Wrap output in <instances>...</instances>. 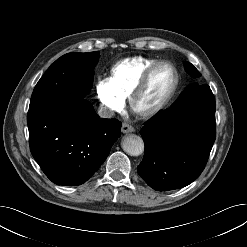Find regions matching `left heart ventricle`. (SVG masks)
<instances>
[{
    "instance_id": "1",
    "label": "left heart ventricle",
    "mask_w": 247,
    "mask_h": 247,
    "mask_svg": "<svg viewBox=\"0 0 247 247\" xmlns=\"http://www.w3.org/2000/svg\"><path fill=\"white\" fill-rule=\"evenodd\" d=\"M174 82V72L168 65H162L151 75L147 86L135 103L137 112H145L158 103L167 95Z\"/></svg>"
}]
</instances>
